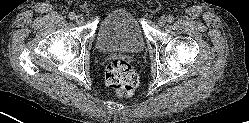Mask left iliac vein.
Wrapping results in <instances>:
<instances>
[{"label": "left iliac vein", "mask_w": 249, "mask_h": 123, "mask_svg": "<svg viewBox=\"0 0 249 123\" xmlns=\"http://www.w3.org/2000/svg\"><path fill=\"white\" fill-rule=\"evenodd\" d=\"M166 22H167V19H166L165 16H161V17L159 18L158 23H159V25H160L161 27H163V26L166 24Z\"/></svg>", "instance_id": "1"}]
</instances>
